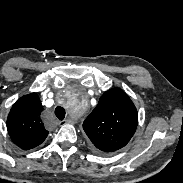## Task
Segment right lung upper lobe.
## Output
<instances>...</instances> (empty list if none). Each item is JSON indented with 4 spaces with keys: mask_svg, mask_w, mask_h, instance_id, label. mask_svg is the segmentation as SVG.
Segmentation results:
<instances>
[{
    "mask_svg": "<svg viewBox=\"0 0 183 183\" xmlns=\"http://www.w3.org/2000/svg\"><path fill=\"white\" fill-rule=\"evenodd\" d=\"M43 106L36 93L25 95L12 106L7 119V129L12 141L24 150L41 144L48 135L40 114Z\"/></svg>",
    "mask_w": 183,
    "mask_h": 183,
    "instance_id": "right-lung-upper-lobe-1",
    "label": "right lung upper lobe"
}]
</instances>
